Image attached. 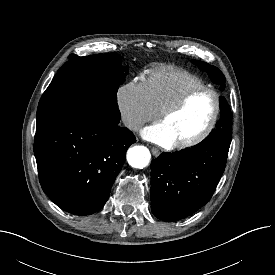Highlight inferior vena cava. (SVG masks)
I'll list each match as a JSON object with an SVG mask.
<instances>
[{"instance_id": "1", "label": "inferior vena cava", "mask_w": 275, "mask_h": 275, "mask_svg": "<svg viewBox=\"0 0 275 275\" xmlns=\"http://www.w3.org/2000/svg\"><path fill=\"white\" fill-rule=\"evenodd\" d=\"M122 120L124 125L130 129H137L142 126V122L133 117L125 116Z\"/></svg>"}]
</instances>
